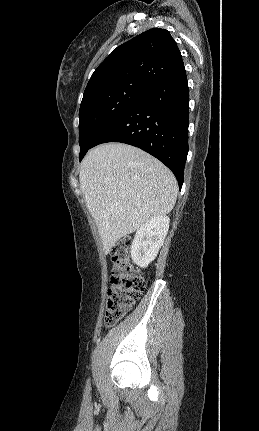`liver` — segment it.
I'll use <instances>...</instances> for the list:
<instances>
[{
    "label": "liver",
    "mask_w": 259,
    "mask_h": 431,
    "mask_svg": "<svg viewBox=\"0 0 259 431\" xmlns=\"http://www.w3.org/2000/svg\"><path fill=\"white\" fill-rule=\"evenodd\" d=\"M79 180L105 254L151 218L171 212L178 194L175 176L165 165L123 143L91 149L82 161Z\"/></svg>",
    "instance_id": "liver-1"
}]
</instances>
